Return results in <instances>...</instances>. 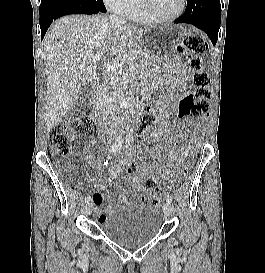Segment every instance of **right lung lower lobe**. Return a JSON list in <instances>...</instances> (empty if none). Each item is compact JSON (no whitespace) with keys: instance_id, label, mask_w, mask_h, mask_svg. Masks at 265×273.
<instances>
[{"instance_id":"98d812e1","label":"right lung lower lobe","mask_w":265,"mask_h":273,"mask_svg":"<svg viewBox=\"0 0 265 273\" xmlns=\"http://www.w3.org/2000/svg\"><path fill=\"white\" fill-rule=\"evenodd\" d=\"M104 12L92 5H78L61 0H49L40 5V28L43 39L50 24L57 18L69 14H97Z\"/></svg>"}]
</instances>
